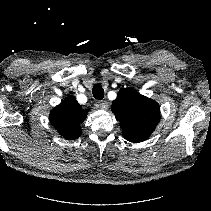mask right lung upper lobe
Here are the masks:
<instances>
[{"label": "right lung upper lobe", "instance_id": "cb5924a9", "mask_svg": "<svg viewBox=\"0 0 211 211\" xmlns=\"http://www.w3.org/2000/svg\"><path fill=\"white\" fill-rule=\"evenodd\" d=\"M88 110L83 109L73 96L66 98L50 112V122L66 139H76L81 135L80 124Z\"/></svg>", "mask_w": 211, "mask_h": 211}]
</instances>
